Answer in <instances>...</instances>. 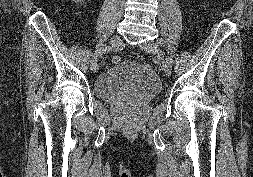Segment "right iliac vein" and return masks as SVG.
Wrapping results in <instances>:
<instances>
[{
	"label": "right iliac vein",
	"mask_w": 253,
	"mask_h": 177,
	"mask_svg": "<svg viewBox=\"0 0 253 177\" xmlns=\"http://www.w3.org/2000/svg\"><path fill=\"white\" fill-rule=\"evenodd\" d=\"M109 43H110V46H111V47H118V46H120V45H121V38H120V36H118V35L112 36V37L110 38ZM98 59H99V58H97L96 61H93V60L91 59V70H92L93 72H96L97 69H98Z\"/></svg>",
	"instance_id": "obj_1"
}]
</instances>
